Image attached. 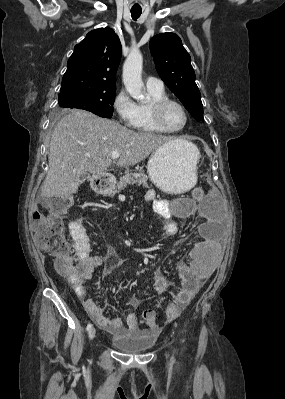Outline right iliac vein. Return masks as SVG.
Wrapping results in <instances>:
<instances>
[{"instance_id": "63e3f726", "label": "right iliac vein", "mask_w": 285, "mask_h": 399, "mask_svg": "<svg viewBox=\"0 0 285 399\" xmlns=\"http://www.w3.org/2000/svg\"><path fill=\"white\" fill-rule=\"evenodd\" d=\"M95 335H96V329H95L94 326H92V327L89 329V339H90L91 341H93L94 338H95Z\"/></svg>"}]
</instances>
